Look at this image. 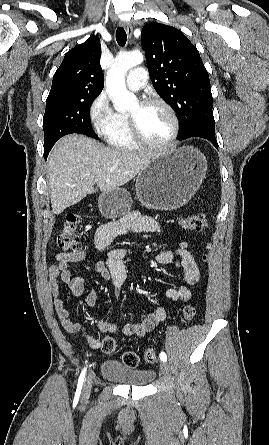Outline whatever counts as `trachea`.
<instances>
[{
  "instance_id": "trachea-1",
  "label": "trachea",
  "mask_w": 269,
  "mask_h": 445,
  "mask_svg": "<svg viewBox=\"0 0 269 445\" xmlns=\"http://www.w3.org/2000/svg\"><path fill=\"white\" fill-rule=\"evenodd\" d=\"M116 40H117V43L120 46H122V47L126 44L127 34H126V31L124 30V28L119 27L117 29V31H116Z\"/></svg>"
}]
</instances>
